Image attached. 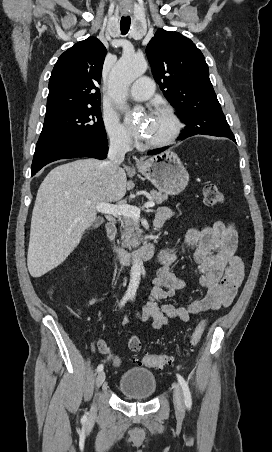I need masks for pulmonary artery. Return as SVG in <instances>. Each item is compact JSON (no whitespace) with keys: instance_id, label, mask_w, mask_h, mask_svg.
<instances>
[{"instance_id":"pulmonary-artery-1","label":"pulmonary artery","mask_w":272,"mask_h":452,"mask_svg":"<svg viewBox=\"0 0 272 452\" xmlns=\"http://www.w3.org/2000/svg\"><path fill=\"white\" fill-rule=\"evenodd\" d=\"M154 92V83L148 77H141L130 88V97L135 101H145Z\"/></svg>"}]
</instances>
